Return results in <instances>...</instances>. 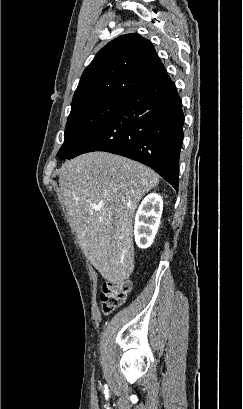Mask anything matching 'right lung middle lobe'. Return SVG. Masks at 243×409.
<instances>
[{
	"label": "right lung middle lobe",
	"instance_id": "right-lung-middle-lobe-1",
	"mask_svg": "<svg viewBox=\"0 0 243 409\" xmlns=\"http://www.w3.org/2000/svg\"><path fill=\"white\" fill-rule=\"evenodd\" d=\"M124 98H101L72 104L64 133L65 143L57 156L66 159L87 138L97 132L119 109Z\"/></svg>",
	"mask_w": 243,
	"mask_h": 409
}]
</instances>
